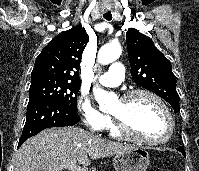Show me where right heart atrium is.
Instances as JSON below:
<instances>
[{"label":"right heart atrium","instance_id":"1","mask_svg":"<svg viewBox=\"0 0 199 171\" xmlns=\"http://www.w3.org/2000/svg\"><path fill=\"white\" fill-rule=\"evenodd\" d=\"M76 106L84 124L92 131L99 132L107 127L110 120L109 116L100 112L88 96L80 94Z\"/></svg>","mask_w":199,"mask_h":171}]
</instances>
